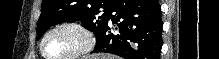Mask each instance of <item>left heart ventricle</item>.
I'll return each instance as SVG.
<instances>
[{
    "label": "left heart ventricle",
    "instance_id": "left-heart-ventricle-1",
    "mask_svg": "<svg viewBox=\"0 0 219 59\" xmlns=\"http://www.w3.org/2000/svg\"><path fill=\"white\" fill-rule=\"evenodd\" d=\"M82 43V36L78 32L61 29L48 36L44 50L51 57H64L78 50Z\"/></svg>",
    "mask_w": 219,
    "mask_h": 59
}]
</instances>
